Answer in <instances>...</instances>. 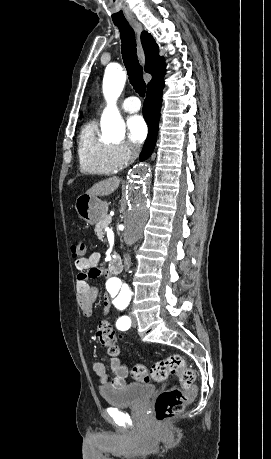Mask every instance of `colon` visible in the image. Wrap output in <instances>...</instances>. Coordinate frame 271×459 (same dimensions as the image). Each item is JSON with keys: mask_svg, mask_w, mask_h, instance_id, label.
<instances>
[{"mask_svg": "<svg viewBox=\"0 0 271 459\" xmlns=\"http://www.w3.org/2000/svg\"><path fill=\"white\" fill-rule=\"evenodd\" d=\"M86 254L87 247L84 241L80 240L71 246V255L74 259L84 258ZM96 335L101 346L106 348L112 356L120 353L116 333L108 321L99 322ZM131 375L133 379L141 382H161L169 375H176L179 378L180 387L160 393L155 400V419L158 423L167 422L178 415L183 406L196 394L195 372L187 366L184 358L179 354L170 355L154 363L150 368L136 364L131 370Z\"/></svg>", "mask_w": 271, "mask_h": 459, "instance_id": "colon-1", "label": "colon"}]
</instances>
